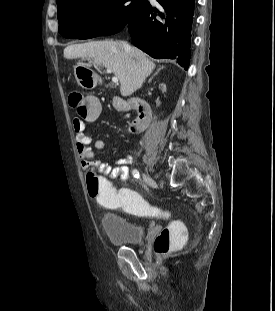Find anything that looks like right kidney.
<instances>
[{
	"label": "right kidney",
	"instance_id": "right-kidney-1",
	"mask_svg": "<svg viewBox=\"0 0 275 311\" xmlns=\"http://www.w3.org/2000/svg\"><path fill=\"white\" fill-rule=\"evenodd\" d=\"M158 89L159 90L153 91V96L154 97H160L162 100H165L167 98V95L165 94L167 86L162 83L158 86Z\"/></svg>",
	"mask_w": 275,
	"mask_h": 311
}]
</instances>
